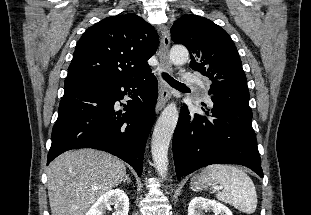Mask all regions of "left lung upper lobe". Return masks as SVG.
<instances>
[{
    "mask_svg": "<svg viewBox=\"0 0 311 215\" xmlns=\"http://www.w3.org/2000/svg\"><path fill=\"white\" fill-rule=\"evenodd\" d=\"M171 38L188 48L190 67L212 81L209 94L249 101L239 53L225 30L207 18L183 15L174 22Z\"/></svg>",
    "mask_w": 311,
    "mask_h": 215,
    "instance_id": "obj_1",
    "label": "left lung upper lobe"
}]
</instances>
